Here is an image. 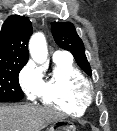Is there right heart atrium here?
Returning <instances> with one entry per match:
<instances>
[{"instance_id":"obj_1","label":"right heart atrium","mask_w":117,"mask_h":131,"mask_svg":"<svg viewBox=\"0 0 117 131\" xmlns=\"http://www.w3.org/2000/svg\"><path fill=\"white\" fill-rule=\"evenodd\" d=\"M41 81V73L32 63H28L19 74L20 86L26 96L30 99H33L38 95Z\"/></svg>"}]
</instances>
